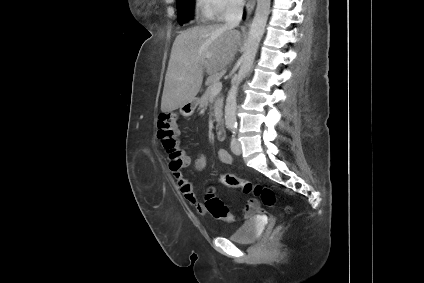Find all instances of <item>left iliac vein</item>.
<instances>
[{
	"label": "left iliac vein",
	"instance_id": "left-iliac-vein-1",
	"mask_svg": "<svg viewBox=\"0 0 424 283\" xmlns=\"http://www.w3.org/2000/svg\"><path fill=\"white\" fill-rule=\"evenodd\" d=\"M231 150L236 155H240L242 153L241 144L236 137L231 139Z\"/></svg>",
	"mask_w": 424,
	"mask_h": 283
}]
</instances>
